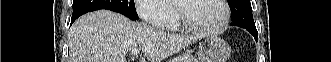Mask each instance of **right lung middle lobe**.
Listing matches in <instances>:
<instances>
[{
	"mask_svg": "<svg viewBox=\"0 0 331 62\" xmlns=\"http://www.w3.org/2000/svg\"><path fill=\"white\" fill-rule=\"evenodd\" d=\"M99 9L118 12L132 20L138 19L134 0H73L72 16H81Z\"/></svg>",
	"mask_w": 331,
	"mask_h": 62,
	"instance_id": "right-lung-middle-lobe-1",
	"label": "right lung middle lobe"
}]
</instances>
